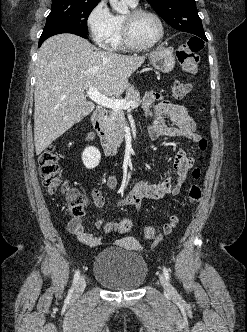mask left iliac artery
<instances>
[{
  "label": "left iliac artery",
  "mask_w": 247,
  "mask_h": 332,
  "mask_svg": "<svg viewBox=\"0 0 247 332\" xmlns=\"http://www.w3.org/2000/svg\"><path fill=\"white\" fill-rule=\"evenodd\" d=\"M163 274L167 281L170 280L169 270L166 267H163Z\"/></svg>",
  "instance_id": "44dca946"
}]
</instances>
